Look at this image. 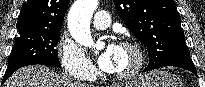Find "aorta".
Masks as SVG:
<instances>
[{"label": "aorta", "mask_w": 205, "mask_h": 87, "mask_svg": "<svg viewBox=\"0 0 205 87\" xmlns=\"http://www.w3.org/2000/svg\"><path fill=\"white\" fill-rule=\"evenodd\" d=\"M98 0H76L68 13V29L73 39L85 47L94 46L90 21Z\"/></svg>", "instance_id": "aorta-1"}]
</instances>
